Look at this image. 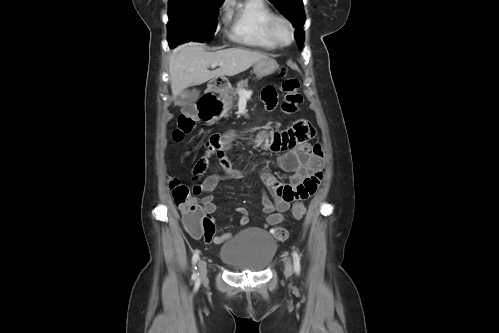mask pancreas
<instances>
[{
	"instance_id": "obj_1",
	"label": "pancreas",
	"mask_w": 499,
	"mask_h": 333,
	"mask_svg": "<svg viewBox=\"0 0 499 333\" xmlns=\"http://www.w3.org/2000/svg\"><path fill=\"white\" fill-rule=\"evenodd\" d=\"M248 87V80H241L237 84V89L226 88L221 92L222 102L224 104V112L227 113L229 110L236 108L237 105L235 101L238 100V90L246 89Z\"/></svg>"
}]
</instances>
